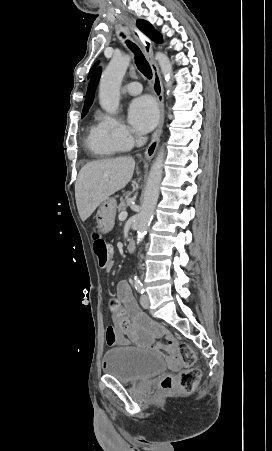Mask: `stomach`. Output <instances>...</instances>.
Instances as JSON below:
<instances>
[{"label": "stomach", "mask_w": 272, "mask_h": 451, "mask_svg": "<svg viewBox=\"0 0 272 451\" xmlns=\"http://www.w3.org/2000/svg\"><path fill=\"white\" fill-rule=\"evenodd\" d=\"M117 202L115 198H107L102 202L95 218L100 233H108L115 224Z\"/></svg>", "instance_id": "stomach-1"}]
</instances>
